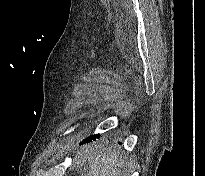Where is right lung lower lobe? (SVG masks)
I'll list each match as a JSON object with an SVG mask.
<instances>
[{
    "instance_id": "obj_1",
    "label": "right lung lower lobe",
    "mask_w": 205,
    "mask_h": 176,
    "mask_svg": "<svg viewBox=\"0 0 205 176\" xmlns=\"http://www.w3.org/2000/svg\"><path fill=\"white\" fill-rule=\"evenodd\" d=\"M85 142H89V141L84 140L82 143H85Z\"/></svg>"
}]
</instances>
